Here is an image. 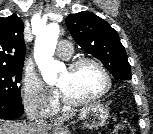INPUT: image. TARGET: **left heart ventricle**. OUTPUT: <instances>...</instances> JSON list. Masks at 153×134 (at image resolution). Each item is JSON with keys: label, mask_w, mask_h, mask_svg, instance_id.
Listing matches in <instances>:
<instances>
[{"label": "left heart ventricle", "mask_w": 153, "mask_h": 134, "mask_svg": "<svg viewBox=\"0 0 153 134\" xmlns=\"http://www.w3.org/2000/svg\"><path fill=\"white\" fill-rule=\"evenodd\" d=\"M57 86L71 97L86 98L100 92L105 86V79L95 65L87 63L73 71L67 68Z\"/></svg>", "instance_id": "b2bd125f"}]
</instances>
